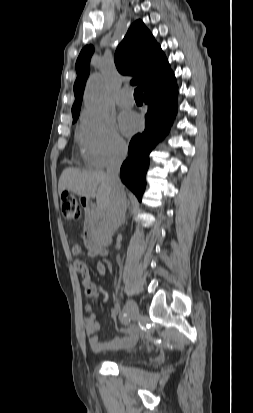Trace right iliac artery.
<instances>
[{
	"mask_svg": "<svg viewBox=\"0 0 253 413\" xmlns=\"http://www.w3.org/2000/svg\"><path fill=\"white\" fill-rule=\"evenodd\" d=\"M122 321H124V322H128L129 321V319H128V317H127V314H126V312H122Z\"/></svg>",
	"mask_w": 253,
	"mask_h": 413,
	"instance_id": "obj_1",
	"label": "right iliac artery"
}]
</instances>
